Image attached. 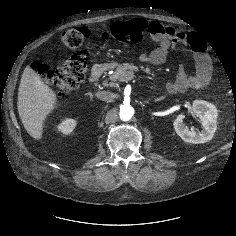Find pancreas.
I'll list each match as a JSON object with an SVG mask.
<instances>
[{
  "instance_id": "pancreas-1",
  "label": "pancreas",
  "mask_w": 236,
  "mask_h": 236,
  "mask_svg": "<svg viewBox=\"0 0 236 236\" xmlns=\"http://www.w3.org/2000/svg\"><path fill=\"white\" fill-rule=\"evenodd\" d=\"M141 69L146 71L148 74H151L152 76H155L153 72L150 71L148 68H144L141 66ZM139 68L133 64L124 63L121 65H118L116 68V71L110 75L111 82L108 84L111 87L117 86V80H122L126 77L133 76L134 71L137 72Z\"/></svg>"
}]
</instances>
